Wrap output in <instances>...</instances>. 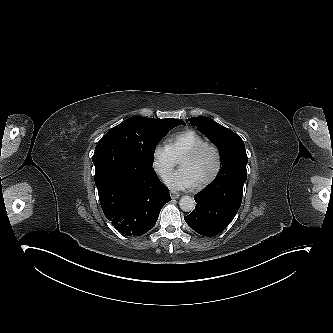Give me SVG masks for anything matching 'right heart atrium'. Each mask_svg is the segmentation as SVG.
Returning a JSON list of instances; mask_svg holds the SVG:
<instances>
[{"mask_svg":"<svg viewBox=\"0 0 333 333\" xmlns=\"http://www.w3.org/2000/svg\"><path fill=\"white\" fill-rule=\"evenodd\" d=\"M153 168L163 178H167L174 170L177 160L169 148L158 146L153 152Z\"/></svg>","mask_w":333,"mask_h":333,"instance_id":"obj_1","label":"right heart atrium"}]
</instances>
